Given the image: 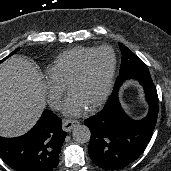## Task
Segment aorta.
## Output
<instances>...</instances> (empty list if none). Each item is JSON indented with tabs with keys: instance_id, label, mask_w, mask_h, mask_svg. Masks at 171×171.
Returning a JSON list of instances; mask_svg holds the SVG:
<instances>
[{
	"instance_id": "762f6f07",
	"label": "aorta",
	"mask_w": 171,
	"mask_h": 171,
	"mask_svg": "<svg viewBox=\"0 0 171 171\" xmlns=\"http://www.w3.org/2000/svg\"><path fill=\"white\" fill-rule=\"evenodd\" d=\"M73 139L78 143H86L90 140L91 132L86 125H75L72 131Z\"/></svg>"
}]
</instances>
